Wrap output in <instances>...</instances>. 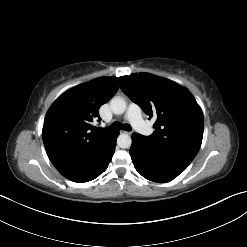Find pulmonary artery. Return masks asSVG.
I'll use <instances>...</instances> for the list:
<instances>
[{"mask_svg":"<svg viewBox=\"0 0 247 247\" xmlns=\"http://www.w3.org/2000/svg\"><path fill=\"white\" fill-rule=\"evenodd\" d=\"M126 120H128L133 127L140 133L144 135H149L152 132V128L147 124L141 114V109L138 105L131 103L128 106L127 112L125 114Z\"/></svg>","mask_w":247,"mask_h":247,"instance_id":"pulmonary-artery-1","label":"pulmonary artery"}]
</instances>
